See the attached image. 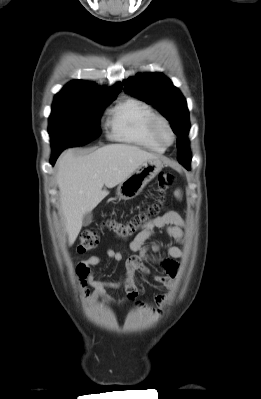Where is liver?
I'll list each match as a JSON object with an SVG mask.
<instances>
[{
    "instance_id": "1",
    "label": "liver",
    "mask_w": 261,
    "mask_h": 399,
    "mask_svg": "<svg viewBox=\"0 0 261 399\" xmlns=\"http://www.w3.org/2000/svg\"><path fill=\"white\" fill-rule=\"evenodd\" d=\"M158 156L127 144H110L76 157L66 151L58 161L57 184L69 245H73L84 214L91 212L113 188L127 179L142 163Z\"/></svg>"
}]
</instances>
